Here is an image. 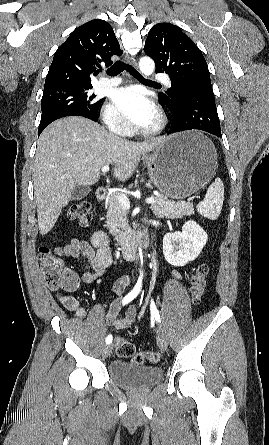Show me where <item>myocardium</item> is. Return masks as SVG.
I'll list each match as a JSON object with an SVG mask.
<instances>
[{
  "instance_id": "f54148a6",
  "label": "myocardium",
  "mask_w": 269,
  "mask_h": 445,
  "mask_svg": "<svg viewBox=\"0 0 269 445\" xmlns=\"http://www.w3.org/2000/svg\"><path fill=\"white\" fill-rule=\"evenodd\" d=\"M166 121L161 113H158L154 124L148 128L142 129L140 133L144 136H153L160 133L165 127Z\"/></svg>"
}]
</instances>
